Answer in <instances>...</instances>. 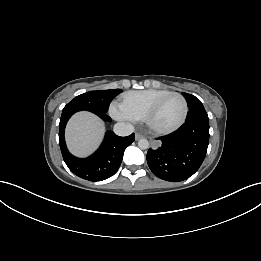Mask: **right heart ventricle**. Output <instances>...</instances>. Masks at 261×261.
I'll use <instances>...</instances> for the list:
<instances>
[{
  "label": "right heart ventricle",
  "mask_w": 261,
  "mask_h": 261,
  "mask_svg": "<svg viewBox=\"0 0 261 261\" xmlns=\"http://www.w3.org/2000/svg\"><path fill=\"white\" fill-rule=\"evenodd\" d=\"M169 92L166 89L129 91L122 95L119 107L130 120L141 121L151 105Z\"/></svg>",
  "instance_id": "right-heart-ventricle-1"
}]
</instances>
